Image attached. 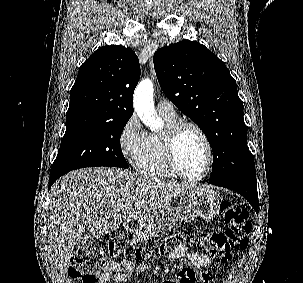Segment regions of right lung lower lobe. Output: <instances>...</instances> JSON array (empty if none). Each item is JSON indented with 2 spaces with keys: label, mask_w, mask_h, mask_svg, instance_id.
<instances>
[{
  "label": "right lung lower lobe",
  "mask_w": 303,
  "mask_h": 283,
  "mask_svg": "<svg viewBox=\"0 0 303 283\" xmlns=\"http://www.w3.org/2000/svg\"><path fill=\"white\" fill-rule=\"evenodd\" d=\"M64 174H66V172H50L49 189L51 188L52 184Z\"/></svg>",
  "instance_id": "1"
}]
</instances>
